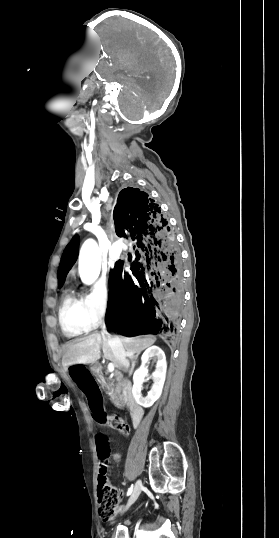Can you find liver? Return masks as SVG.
<instances>
[{
    "label": "liver",
    "instance_id": "6515ba94",
    "mask_svg": "<svg viewBox=\"0 0 279 538\" xmlns=\"http://www.w3.org/2000/svg\"><path fill=\"white\" fill-rule=\"evenodd\" d=\"M120 342H122L124 350H126V358L136 360L134 354H140L142 350L153 346L156 338L154 336H144V338L137 336V338H120ZM101 348L106 360L114 362L115 368H124L128 372L129 360H125V364H120L119 360L113 356V352L106 338H102L101 334H90L86 338L75 340L68 352L69 366H73V364H95L100 358Z\"/></svg>",
    "mask_w": 279,
    "mask_h": 538
}]
</instances>
